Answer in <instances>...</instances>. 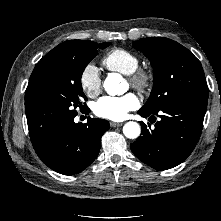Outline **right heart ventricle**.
<instances>
[{"instance_id":"right-heart-ventricle-1","label":"right heart ventricle","mask_w":221,"mask_h":221,"mask_svg":"<svg viewBox=\"0 0 221 221\" xmlns=\"http://www.w3.org/2000/svg\"><path fill=\"white\" fill-rule=\"evenodd\" d=\"M102 63L110 71L130 75L138 68L139 58L127 49L114 48L104 55Z\"/></svg>"}]
</instances>
